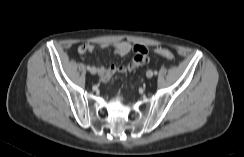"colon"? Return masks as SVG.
I'll return each instance as SVG.
<instances>
[{
    "mask_svg": "<svg viewBox=\"0 0 244 157\" xmlns=\"http://www.w3.org/2000/svg\"><path fill=\"white\" fill-rule=\"evenodd\" d=\"M156 53L158 55L168 59V60H174L175 59L174 54L168 49L159 48L156 50ZM134 59L138 63L145 64L148 61L147 52L145 50H139L136 53Z\"/></svg>",
    "mask_w": 244,
    "mask_h": 157,
    "instance_id": "1",
    "label": "colon"
}]
</instances>
